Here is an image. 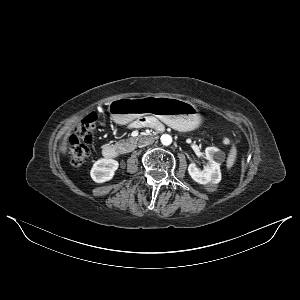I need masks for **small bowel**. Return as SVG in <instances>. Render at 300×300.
Segmentation results:
<instances>
[{"mask_svg":"<svg viewBox=\"0 0 300 300\" xmlns=\"http://www.w3.org/2000/svg\"><path fill=\"white\" fill-rule=\"evenodd\" d=\"M229 141L227 139L224 140V143L227 144Z\"/></svg>","mask_w":300,"mask_h":300,"instance_id":"c3829d8e","label":"small bowel"}]
</instances>
